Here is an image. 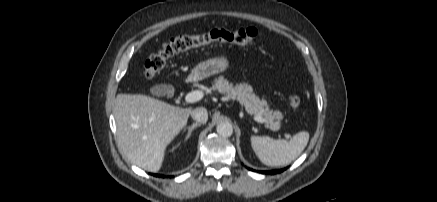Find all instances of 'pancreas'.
Returning <instances> with one entry per match:
<instances>
[{
  "label": "pancreas",
  "mask_w": 437,
  "mask_h": 202,
  "mask_svg": "<svg viewBox=\"0 0 437 202\" xmlns=\"http://www.w3.org/2000/svg\"><path fill=\"white\" fill-rule=\"evenodd\" d=\"M212 89L225 94L230 99L237 100L240 104L244 105L248 114L264 118L267 121L266 127L271 130L276 131L279 129L280 119L283 117L282 113L277 110H269L267 102L260 100L253 93L250 85L239 84L233 86L223 76H220L215 80ZM274 119L277 121L274 122Z\"/></svg>",
  "instance_id": "cf45deb5"
}]
</instances>
